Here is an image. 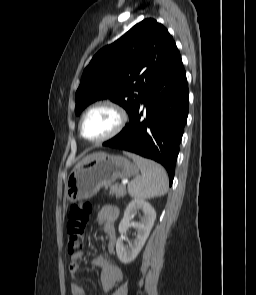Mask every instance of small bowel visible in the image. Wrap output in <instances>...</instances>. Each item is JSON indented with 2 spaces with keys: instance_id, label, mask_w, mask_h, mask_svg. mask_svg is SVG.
Masks as SVG:
<instances>
[{
  "instance_id": "obj_1",
  "label": "small bowel",
  "mask_w": 256,
  "mask_h": 295,
  "mask_svg": "<svg viewBox=\"0 0 256 295\" xmlns=\"http://www.w3.org/2000/svg\"><path fill=\"white\" fill-rule=\"evenodd\" d=\"M119 217V210L114 206L103 207L98 215L97 221L103 226L104 231L108 236V250L112 252L115 247L116 242V231L115 222ZM83 256V252H78L72 256V260L69 264V274L71 279V290L72 295H87L86 290L81 286L77 280V273L79 271L80 265L78 260ZM92 266L101 268L100 272V284L101 288L105 293H109L113 290L115 285L122 278V271L115 264L110 262L104 257H97L92 260Z\"/></svg>"
}]
</instances>
